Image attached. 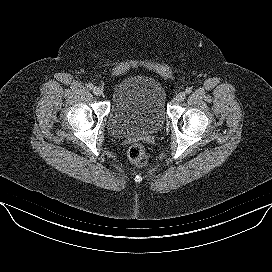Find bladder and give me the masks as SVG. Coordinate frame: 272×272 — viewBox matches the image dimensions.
<instances>
[{"mask_svg": "<svg viewBox=\"0 0 272 272\" xmlns=\"http://www.w3.org/2000/svg\"><path fill=\"white\" fill-rule=\"evenodd\" d=\"M166 91L155 77L133 74L113 89L107 124L116 137L154 133L166 120Z\"/></svg>", "mask_w": 272, "mask_h": 272, "instance_id": "1", "label": "bladder"}]
</instances>
